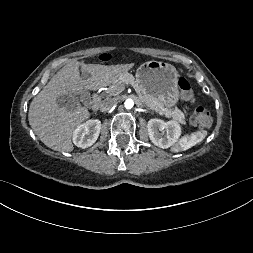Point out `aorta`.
Here are the masks:
<instances>
[{
	"label": "aorta",
	"mask_w": 253,
	"mask_h": 253,
	"mask_svg": "<svg viewBox=\"0 0 253 253\" xmlns=\"http://www.w3.org/2000/svg\"><path fill=\"white\" fill-rule=\"evenodd\" d=\"M124 105H125V108L131 109L134 106V101L132 99H127Z\"/></svg>",
	"instance_id": "762f6f07"
}]
</instances>
